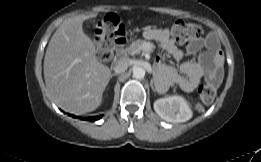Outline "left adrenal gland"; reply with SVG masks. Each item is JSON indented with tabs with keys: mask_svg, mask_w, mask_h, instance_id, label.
<instances>
[{
	"mask_svg": "<svg viewBox=\"0 0 261 162\" xmlns=\"http://www.w3.org/2000/svg\"><path fill=\"white\" fill-rule=\"evenodd\" d=\"M151 87H152V89L154 90V87H153V81H151Z\"/></svg>",
	"mask_w": 261,
	"mask_h": 162,
	"instance_id": "a2214340",
	"label": "left adrenal gland"
}]
</instances>
